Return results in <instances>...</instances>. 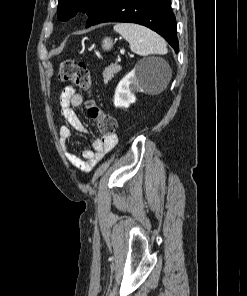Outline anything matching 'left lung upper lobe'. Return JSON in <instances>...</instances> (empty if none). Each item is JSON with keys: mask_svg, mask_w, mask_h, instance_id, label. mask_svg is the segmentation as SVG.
I'll use <instances>...</instances> for the list:
<instances>
[{"mask_svg": "<svg viewBox=\"0 0 247 296\" xmlns=\"http://www.w3.org/2000/svg\"><path fill=\"white\" fill-rule=\"evenodd\" d=\"M106 0H58V18L62 21L76 15L78 11L89 17L95 14Z\"/></svg>", "mask_w": 247, "mask_h": 296, "instance_id": "obj_1", "label": "left lung upper lobe"}]
</instances>
